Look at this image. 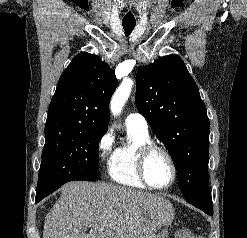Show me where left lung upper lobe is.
<instances>
[{"label":"left lung upper lobe","instance_id":"left-lung-upper-lobe-1","mask_svg":"<svg viewBox=\"0 0 247 238\" xmlns=\"http://www.w3.org/2000/svg\"><path fill=\"white\" fill-rule=\"evenodd\" d=\"M136 106L163 142L187 202L213 214L209 183V119L182 59L171 54L136 74Z\"/></svg>","mask_w":247,"mask_h":238}]
</instances>
